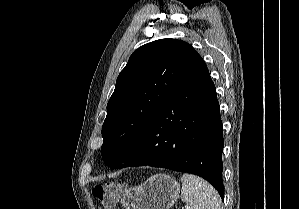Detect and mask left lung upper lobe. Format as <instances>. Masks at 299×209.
<instances>
[{"instance_id":"left-lung-upper-lobe-1","label":"left lung upper lobe","mask_w":299,"mask_h":209,"mask_svg":"<svg viewBox=\"0 0 299 209\" xmlns=\"http://www.w3.org/2000/svg\"><path fill=\"white\" fill-rule=\"evenodd\" d=\"M206 64L188 43L160 39L135 50L117 78L102 126V158L112 169L124 163L161 107Z\"/></svg>"}]
</instances>
